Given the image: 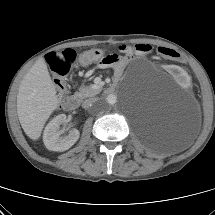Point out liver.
<instances>
[{
  "instance_id": "6515ba94",
  "label": "liver",
  "mask_w": 215,
  "mask_h": 215,
  "mask_svg": "<svg viewBox=\"0 0 215 215\" xmlns=\"http://www.w3.org/2000/svg\"><path fill=\"white\" fill-rule=\"evenodd\" d=\"M43 58L26 73L17 94V115L25 134L32 140L41 136L44 125L59 100Z\"/></svg>"
}]
</instances>
